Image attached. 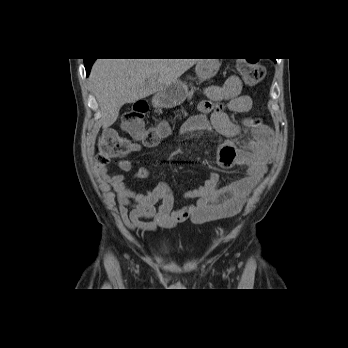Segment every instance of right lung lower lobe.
<instances>
[{
	"mask_svg": "<svg viewBox=\"0 0 348 348\" xmlns=\"http://www.w3.org/2000/svg\"><path fill=\"white\" fill-rule=\"evenodd\" d=\"M95 59H84V64H85V68H86V73H87V76L89 75V72H90V69H91V66L93 64Z\"/></svg>",
	"mask_w": 348,
	"mask_h": 348,
	"instance_id": "right-lung-lower-lobe-1",
	"label": "right lung lower lobe"
}]
</instances>
